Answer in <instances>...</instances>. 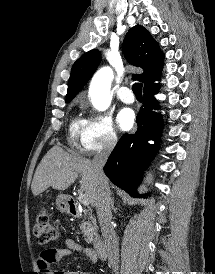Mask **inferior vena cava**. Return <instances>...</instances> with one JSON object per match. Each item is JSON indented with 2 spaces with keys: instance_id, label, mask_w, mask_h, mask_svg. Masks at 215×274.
<instances>
[{
  "instance_id": "1",
  "label": "inferior vena cava",
  "mask_w": 215,
  "mask_h": 274,
  "mask_svg": "<svg viewBox=\"0 0 215 274\" xmlns=\"http://www.w3.org/2000/svg\"><path fill=\"white\" fill-rule=\"evenodd\" d=\"M117 138L108 139L103 151L96 154L92 160V167L97 181L96 210L102 236L104 239L105 249L108 255L109 265L117 270L119 263V247L117 236L112 226L111 212V192L107 178L104 174L103 167L108 159L109 154L116 145Z\"/></svg>"
}]
</instances>
